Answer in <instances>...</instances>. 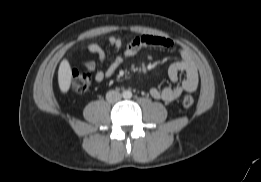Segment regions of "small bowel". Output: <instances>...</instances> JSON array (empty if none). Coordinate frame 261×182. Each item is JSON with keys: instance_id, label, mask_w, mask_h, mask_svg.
Listing matches in <instances>:
<instances>
[{"instance_id": "small-bowel-1", "label": "small bowel", "mask_w": 261, "mask_h": 182, "mask_svg": "<svg viewBox=\"0 0 261 182\" xmlns=\"http://www.w3.org/2000/svg\"><path fill=\"white\" fill-rule=\"evenodd\" d=\"M107 43L115 52L113 60L107 66V54L100 44L90 43L85 46L87 51L97 56L99 67L94 75L96 83H100L104 79L111 77L126 59L134 57L141 49L145 47H158L177 51L180 55V60L173 62L168 68V76L172 85L162 89L152 88L150 90V95L154 99L172 102L179 98L183 93L194 92L198 87V68L192 55L187 49L166 37L143 34L132 38L124 44L120 38L111 36L107 39ZM97 63L91 59L84 62L85 67L89 71H94L97 68ZM180 72H185V78L181 83H178Z\"/></svg>"}]
</instances>
